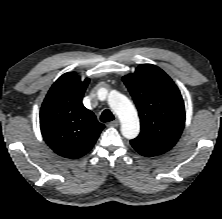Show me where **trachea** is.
<instances>
[{"instance_id": "3493384b", "label": "trachea", "mask_w": 222, "mask_h": 219, "mask_svg": "<svg viewBox=\"0 0 222 219\" xmlns=\"http://www.w3.org/2000/svg\"><path fill=\"white\" fill-rule=\"evenodd\" d=\"M114 119H115L114 115L108 109L104 110L100 117L101 122H110Z\"/></svg>"}]
</instances>
